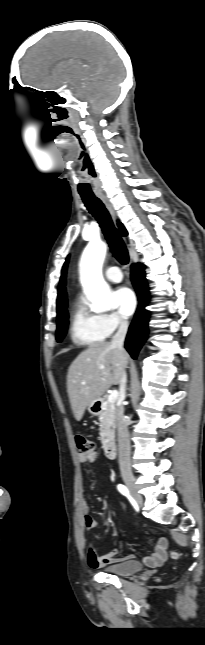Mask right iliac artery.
<instances>
[{"instance_id": "82829eb1", "label": "right iliac artery", "mask_w": 205, "mask_h": 645, "mask_svg": "<svg viewBox=\"0 0 205 645\" xmlns=\"http://www.w3.org/2000/svg\"><path fill=\"white\" fill-rule=\"evenodd\" d=\"M117 488L121 494L129 496V490L126 488V486L119 484Z\"/></svg>"}]
</instances>
